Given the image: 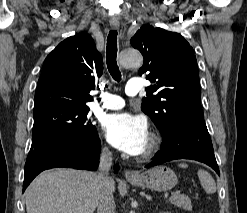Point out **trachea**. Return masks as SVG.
<instances>
[{
  "label": "trachea",
  "instance_id": "obj_1",
  "mask_svg": "<svg viewBox=\"0 0 247 213\" xmlns=\"http://www.w3.org/2000/svg\"><path fill=\"white\" fill-rule=\"evenodd\" d=\"M106 63L112 78L119 82L121 80V72L117 65V31L111 30L107 37Z\"/></svg>",
  "mask_w": 247,
  "mask_h": 213
}]
</instances>
